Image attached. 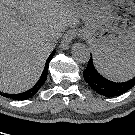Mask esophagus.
Returning a JSON list of instances; mask_svg holds the SVG:
<instances>
[{"label":"esophagus","mask_w":135,"mask_h":135,"mask_svg":"<svg viewBox=\"0 0 135 135\" xmlns=\"http://www.w3.org/2000/svg\"><path fill=\"white\" fill-rule=\"evenodd\" d=\"M75 36H76V30L74 29L67 30L61 39L60 47L64 50L68 49L69 44L72 42Z\"/></svg>","instance_id":"obj_1"}]
</instances>
